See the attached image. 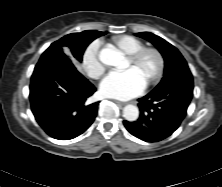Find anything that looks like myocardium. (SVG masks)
<instances>
[{"instance_id":"obj_1","label":"myocardium","mask_w":222,"mask_h":187,"mask_svg":"<svg viewBox=\"0 0 222 187\" xmlns=\"http://www.w3.org/2000/svg\"><path fill=\"white\" fill-rule=\"evenodd\" d=\"M153 54L157 59V69L155 74L146 82L147 86L154 85L158 83L165 71V58L163 53L156 47L143 46L133 54L129 55V60L133 64L139 63L146 55Z\"/></svg>"}]
</instances>
